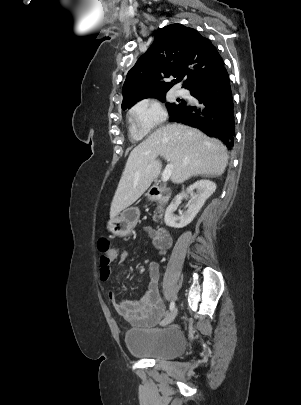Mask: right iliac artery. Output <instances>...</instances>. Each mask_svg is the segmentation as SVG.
Masks as SVG:
<instances>
[{
  "mask_svg": "<svg viewBox=\"0 0 301 405\" xmlns=\"http://www.w3.org/2000/svg\"><path fill=\"white\" fill-rule=\"evenodd\" d=\"M174 307H175V304H174V302L172 301V302L170 303V307H169L170 311H172V310L174 309Z\"/></svg>",
  "mask_w": 301,
  "mask_h": 405,
  "instance_id": "1",
  "label": "right iliac artery"
}]
</instances>
